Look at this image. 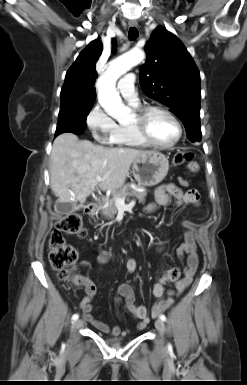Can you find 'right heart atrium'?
Instances as JSON below:
<instances>
[{"label": "right heart atrium", "mask_w": 247, "mask_h": 385, "mask_svg": "<svg viewBox=\"0 0 247 385\" xmlns=\"http://www.w3.org/2000/svg\"><path fill=\"white\" fill-rule=\"evenodd\" d=\"M86 123L96 141L113 144L117 124L100 104H95L88 112Z\"/></svg>", "instance_id": "right-heart-atrium-1"}]
</instances>
